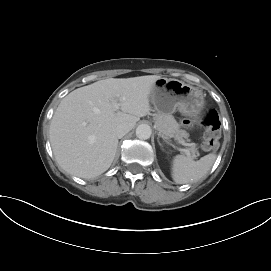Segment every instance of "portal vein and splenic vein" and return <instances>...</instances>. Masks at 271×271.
Returning a JSON list of instances; mask_svg holds the SVG:
<instances>
[{
  "label": "portal vein and splenic vein",
  "instance_id": "portal-vein-and-splenic-vein-1",
  "mask_svg": "<svg viewBox=\"0 0 271 271\" xmlns=\"http://www.w3.org/2000/svg\"><path fill=\"white\" fill-rule=\"evenodd\" d=\"M116 108L118 109V105H116ZM181 151L185 152L188 156H190V151L188 149H181Z\"/></svg>",
  "mask_w": 271,
  "mask_h": 271
}]
</instances>
